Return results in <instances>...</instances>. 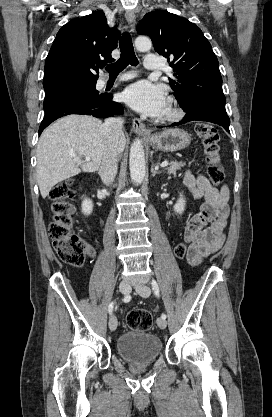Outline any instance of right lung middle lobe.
Masks as SVG:
<instances>
[{
    "label": "right lung middle lobe",
    "mask_w": 272,
    "mask_h": 417,
    "mask_svg": "<svg viewBox=\"0 0 272 417\" xmlns=\"http://www.w3.org/2000/svg\"><path fill=\"white\" fill-rule=\"evenodd\" d=\"M95 86L96 82L88 84L63 85L56 88L47 89L45 90L44 105L60 96L69 94L87 93L92 95L93 97H97L100 94L95 89Z\"/></svg>",
    "instance_id": "dd1d6c3e"
}]
</instances>
